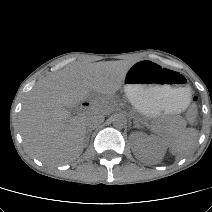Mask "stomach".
Returning <instances> with one entry per match:
<instances>
[{
  "label": "stomach",
  "instance_id": "obj_1",
  "mask_svg": "<svg viewBox=\"0 0 212 212\" xmlns=\"http://www.w3.org/2000/svg\"><path fill=\"white\" fill-rule=\"evenodd\" d=\"M124 92L144 116L179 113L190 102V88L179 73L144 60L133 64L124 78Z\"/></svg>",
  "mask_w": 212,
  "mask_h": 212
}]
</instances>
